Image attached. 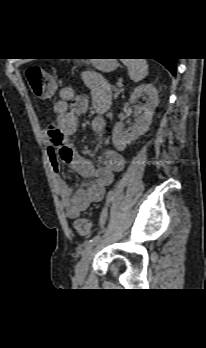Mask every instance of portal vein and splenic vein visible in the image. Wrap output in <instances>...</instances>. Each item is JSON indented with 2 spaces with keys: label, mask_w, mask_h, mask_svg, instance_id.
<instances>
[{
  "label": "portal vein and splenic vein",
  "mask_w": 206,
  "mask_h": 348,
  "mask_svg": "<svg viewBox=\"0 0 206 348\" xmlns=\"http://www.w3.org/2000/svg\"><path fill=\"white\" fill-rule=\"evenodd\" d=\"M117 86H118V87H121V86H122V81H119V82L117 83Z\"/></svg>",
  "instance_id": "obj_1"
}]
</instances>
